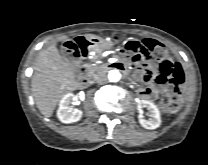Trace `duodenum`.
<instances>
[{
    "mask_svg": "<svg viewBox=\"0 0 208 165\" xmlns=\"http://www.w3.org/2000/svg\"><path fill=\"white\" fill-rule=\"evenodd\" d=\"M88 53H89V51H88ZM113 65H115V67H117L123 71H126L125 68L120 65H116V64H113ZM110 67H111V65L105 66L106 69H109ZM78 78H79V82L81 85H88L91 82L88 68L84 64H81L79 66Z\"/></svg>",
    "mask_w": 208,
    "mask_h": 165,
    "instance_id": "duodenum-1",
    "label": "duodenum"
}]
</instances>
